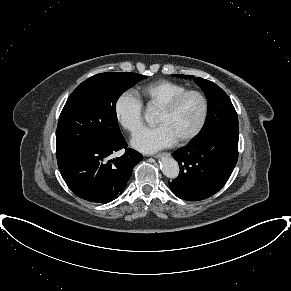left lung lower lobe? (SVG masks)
I'll return each mask as SVG.
<instances>
[{"label": "left lung lower lobe", "instance_id": "0a47b994", "mask_svg": "<svg viewBox=\"0 0 291 291\" xmlns=\"http://www.w3.org/2000/svg\"><path fill=\"white\" fill-rule=\"evenodd\" d=\"M238 138V131H218L175 151L173 156L180 166V174L168 181L171 191L178 198L190 201L218 192L237 163Z\"/></svg>", "mask_w": 291, "mask_h": 291}]
</instances>
